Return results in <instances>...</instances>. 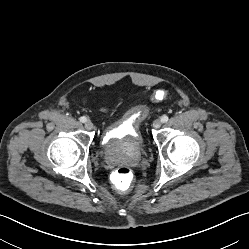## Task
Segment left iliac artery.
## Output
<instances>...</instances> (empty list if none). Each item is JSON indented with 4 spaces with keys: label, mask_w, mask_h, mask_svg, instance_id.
Listing matches in <instances>:
<instances>
[{
    "label": "left iliac artery",
    "mask_w": 249,
    "mask_h": 249,
    "mask_svg": "<svg viewBox=\"0 0 249 249\" xmlns=\"http://www.w3.org/2000/svg\"><path fill=\"white\" fill-rule=\"evenodd\" d=\"M168 120H169V118H168L167 115H163V116L161 117V122H162V123H165V122H167Z\"/></svg>",
    "instance_id": "44dca946"
}]
</instances>
